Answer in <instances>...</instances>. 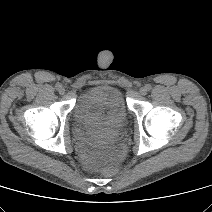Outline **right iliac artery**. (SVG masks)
<instances>
[{
	"instance_id": "82829eb1",
	"label": "right iliac artery",
	"mask_w": 212,
	"mask_h": 212,
	"mask_svg": "<svg viewBox=\"0 0 212 212\" xmlns=\"http://www.w3.org/2000/svg\"><path fill=\"white\" fill-rule=\"evenodd\" d=\"M61 87V85L58 83L56 84V89L59 90V88Z\"/></svg>"
}]
</instances>
